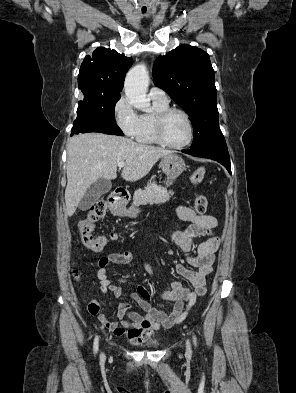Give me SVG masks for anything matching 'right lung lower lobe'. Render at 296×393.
I'll return each mask as SVG.
<instances>
[{"label": "right lung lower lobe", "mask_w": 296, "mask_h": 393, "mask_svg": "<svg viewBox=\"0 0 296 393\" xmlns=\"http://www.w3.org/2000/svg\"><path fill=\"white\" fill-rule=\"evenodd\" d=\"M86 132H100L120 136L124 135L116 124H111L95 117L86 116L84 118H80L77 116V119L73 123L71 135Z\"/></svg>", "instance_id": "1"}]
</instances>
